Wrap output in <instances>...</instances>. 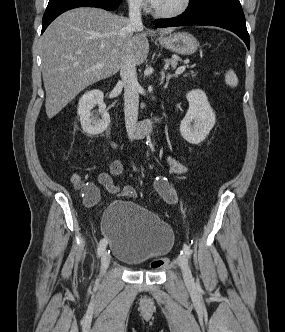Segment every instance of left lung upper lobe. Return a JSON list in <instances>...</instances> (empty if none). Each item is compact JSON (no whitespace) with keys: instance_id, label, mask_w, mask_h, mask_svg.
Wrapping results in <instances>:
<instances>
[{"instance_id":"obj_1","label":"left lung upper lobe","mask_w":285,"mask_h":332,"mask_svg":"<svg viewBox=\"0 0 285 332\" xmlns=\"http://www.w3.org/2000/svg\"><path fill=\"white\" fill-rule=\"evenodd\" d=\"M217 0H190L189 1V9H194L196 7H199L201 5H204L209 2H213Z\"/></svg>"}]
</instances>
